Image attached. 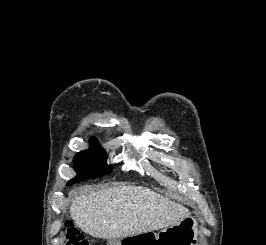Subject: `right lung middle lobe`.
I'll list each match as a JSON object with an SVG mask.
<instances>
[{
  "label": "right lung middle lobe",
  "instance_id": "right-lung-middle-lobe-1",
  "mask_svg": "<svg viewBox=\"0 0 266 245\" xmlns=\"http://www.w3.org/2000/svg\"><path fill=\"white\" fill-rule=\"evenodd\" d=\"M91 148L79 152L74 158V169L77 176L70 180L67 185L87 179L102 177L109 174L113 167L106 165V154L96 139L90 142Z\"/></svg>",
  "mask_w": 266,
  "mask_h": 245
}]
</instances>
